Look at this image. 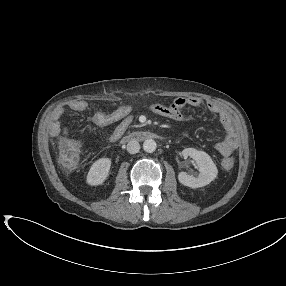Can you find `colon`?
Instances as JSON below:
<instances>
[{
  "label": "colon",
  "mask_w": 286,
  "mask_h": 286,
  "mask_svg": "<svg viewBox=\"0 0 286 286\" xmlns=\"http://www.w3.org/2000/svg\"><path fill=\"white\" fill-rule=\"evenodd\" d=\"M80 157L79 144L71 139L62 138L59 142V160L60 163L68 169L74 168ZM234 161L232 158H227L223 161V167L225 169H231Z\"/></svg>",
  "instance_id": "obj_1"
}]
</instances>
